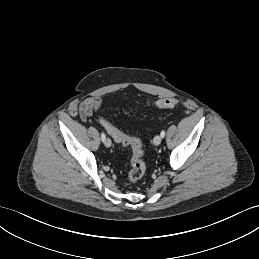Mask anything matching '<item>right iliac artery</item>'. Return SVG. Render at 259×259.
<instances>
[{"label":"right iliac artery","mask_w":259,"mask_h":259,"mask_svg":"<svg viewBox=\"0 0 259 259\" xmlns=\"http://www.w3.org/2000/svg\"><path fill=\"white\" fill-rule=\"evenodd\" d=\"M105 138H106V135H105L104 132H102V133H101V139H102L103 142L105 141Z\"/></svg>","instance_id":"obj_1"}]
</instances>
